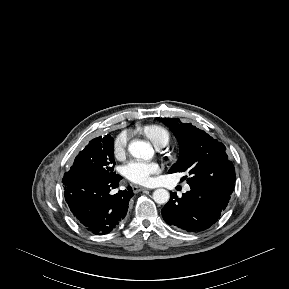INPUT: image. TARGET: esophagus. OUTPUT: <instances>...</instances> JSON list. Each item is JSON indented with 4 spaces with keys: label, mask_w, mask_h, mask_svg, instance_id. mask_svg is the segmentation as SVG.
Segmentation results:
<instances>
[{
    "label": "esophagus",
    "mask_w": 289,
    "mask_h": 289,
    "mask_svg": "<svg viewBox=\"0 0 289 289\" xmlns=\"http://www.w3.org/2000/svg\"><path fill=\"white\" fill-rule=\"evenodd\" d=\"M132 190L134 192H139V191H144V190H148V189L145 187H142V186L134 185V186H132Z\"/></svg>",
    "instance_id": "esophagus-1"
}]
</instances>
